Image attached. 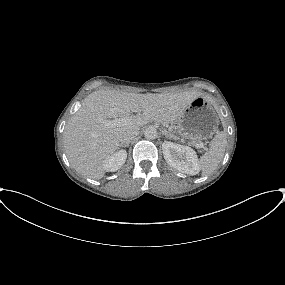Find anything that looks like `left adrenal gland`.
Masks as SVG:
<instances>
[{
    "label": "left adrenal gland",
    "instance_id": "1",
    "mask_svg": "<svg viewBox=\"0 0 285 285\" xmlns=\"http://www.w3.org/2000/svg\"><path fill=\"white\" fill-rule=\"evenodd\" d=\"M163 135H165L167 138H172L171 134L168 133L166 130L163 131Z\"/></svg>",
    "mask_w": 285,
    "mask_h": 285
}]
</instances>
